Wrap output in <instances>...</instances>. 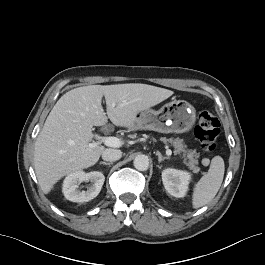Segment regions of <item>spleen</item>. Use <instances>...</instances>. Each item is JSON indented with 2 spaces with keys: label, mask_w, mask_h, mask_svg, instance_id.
I'll use <instances>...</instances> for the list:
<instances>
[{
  "label": "spleen",
  "mask_w": 265,
  "mask_h": 265,
  "mask_svg": "<svg viewBox=\"0 0 265 265\" xmlns=\"http://www.w3.org/2000/svg\"><path fill=\"white\" fill-rule=\"evenodd\" d=\"M225 172L224 160L215 156L211 160L210 168L195 184L192 195V206L197 209L208 204L221 187Z\"/></svg>",
  "instance_id": "obj_1"
}]
</instances>
